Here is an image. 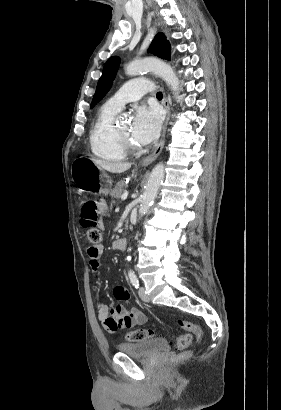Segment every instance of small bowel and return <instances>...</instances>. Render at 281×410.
I'll list each match as a JSON object with an SVG mask.
<instances>
[{
    "label": "small bowel",
    "instance_id": "c3829d8e",
    "mask_svg": "<svg viewBox=\"0 0 281 410\" xmlns=\"http://www.w3.org/2000/svg\"><path fill=\"white\" fill-rule=\"evenodd\" d=\"M103 211L106 212V206L103 205ZM103 227V223L100 224ZM103 244L91 246L88 249L89 264L93 273L99 270V259L103 253ZM115 299L123 302L110 308L107 305H101L98 308V319L101 321L104 329L109 333H115L121 329L130 326L142 325L146 323L147 316L138 309L129 308L127 302L130 299V292L122 285H116L113 288Z\"/></svg>",
    "mask_w": 281,
    "mask_h": 410
}]
</instances>
